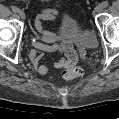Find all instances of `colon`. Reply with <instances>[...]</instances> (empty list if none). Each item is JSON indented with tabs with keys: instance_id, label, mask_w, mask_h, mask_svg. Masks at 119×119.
<instances>
[{
	"instance_id": "obj_1",
	"label": "colon",
	"mask_w": 119,
	"mask_h": 119,
	"mask_svg": "<svg viewBox=\"0 0 119 119\" xmlns=\"http://www.w3.org/2000/svg\"><path fill=\"white\" fill-rule=\"evenodd\" d=\"M83 75V70L78 66L68 67L63 70L62 76L66 80H73Z\"/></svg>"
}]
</instances>
